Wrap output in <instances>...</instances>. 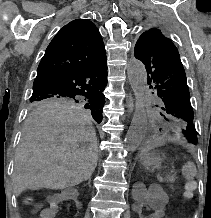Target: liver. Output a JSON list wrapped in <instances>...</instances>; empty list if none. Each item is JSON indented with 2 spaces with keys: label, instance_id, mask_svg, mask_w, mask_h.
<instances>
[{
  "label": "liver",
  "instance_id": "6515ba94",
  "mask_svg": "<svg viewBox=\"0 0 211 218\" xmlns=\"http://www.w3.org/2000/svg\"><path fill=\"white\" fill-rule=\"evenodd\" d=\"M97 158L95 130L84 110L36 108L25 120L16 150L14 190L77 186L91 178Z\"/></svg>",
  "mask_w": 211,
  "mask_h": 218
}]
</instances>
